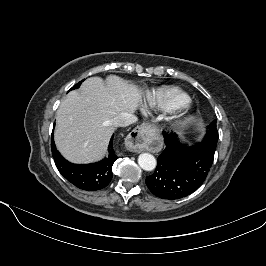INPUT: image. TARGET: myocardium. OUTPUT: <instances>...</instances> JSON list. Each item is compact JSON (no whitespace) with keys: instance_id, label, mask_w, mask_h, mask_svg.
Segmentation results:
<instances>
[{"instance_id":"obj_1","label":"myocardium","mask_w":266,"mask_h":266,"mask_svg":"<svg viewBox=\"0 0 266 266\" xmlns=\"http://www.w3.org/2000/svg\"><path fill=\"white\" fill-rule=\"evenodd\" d=\"M187 122V116L186 115H178L173 118L172 125L175 128L182 127Z\"/></svg>"}]
</instances>
